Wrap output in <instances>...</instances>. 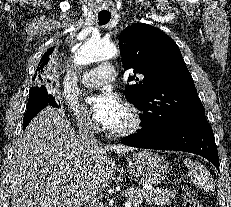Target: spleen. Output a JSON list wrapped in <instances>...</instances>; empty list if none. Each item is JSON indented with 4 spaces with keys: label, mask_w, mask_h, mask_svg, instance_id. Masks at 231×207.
I'll list each match as a JSON object with an SVG mask.
<instances>
[{
    "label": "spleen",
    "mask_w": 231,
    "mask_h": 207,
    "mask_svg": "<svg viewBox=\"0 0 231 207\" xmlns=\"http://www.w3.org/2000/svg\"><path fill=\"white\" fill-rule=\"evenodd\" d=\"M184 164L188 169V175L195 184L203 187L204 189H212L213 184L207 177L203 166L199 162H194L190 159L184 160Z\"/></svg>",
    "instance_id": "1"
}]
</instances>
